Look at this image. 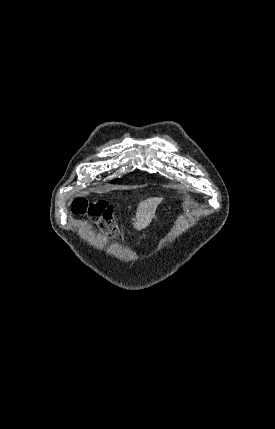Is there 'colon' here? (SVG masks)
Instances as JSON below:
<instances>
[{
	"label": "colon",
	"mask_w": 275,
	"mask_h": 429,
	"mask_svg": "<svg viewBox=\"0 0 275 429\" xmlns=\"http://www.w3.org/2000/svg\"><path fill=\"white\" fill-rule=\"evenodd\" d=\"M73 213L89 217L96 223L99 229L110 238L117 239L120 236L119 228L115 222L114 210L105 201H74Z\"/></svg>",
	"instance_id": "obj_1"
}]
</instances>
